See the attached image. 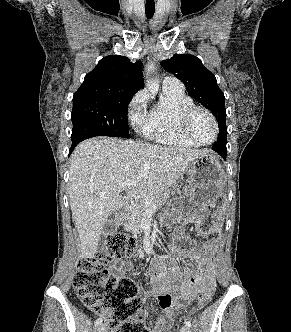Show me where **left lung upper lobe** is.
<instances>
[{
	"instance_id": "obj_1",
	"label": "left lung upper lobe",
	"mask_w": 291,
	"mask_h": 332,
	"mask_svg": "<svg viewBox=\"0 0 291 332\" xmlns=\"http://www.w3.org/2000/svg\"><path fill=\"white\" fill-rule=\"evenodd\" d=\"M162 66L183 81L187 92L214 114L219 125L215 144L226 145L225 97L214 74L203 66L198 57L190 54H174L171 59L164 60Z\"/></svg>"
}]
</instances>
